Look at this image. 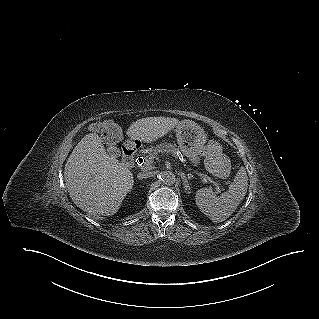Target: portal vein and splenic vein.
I'll use <instances>...</instances> for the list:
<instances>
[{
	"label": "portal vein and splenic vein",
	"instance_id": "obj_1",
	"mask_svg": "<svg viewBox=\"0 0 319 319\" xmlns=\"http://www.w3.org/2000/svg\"><path fill=\"white\" fill-rule=\"evenodd\" d=\"M152 162H153L152 159L147 160V163H148V164H150V163H152ZM201 179H202V181H203L204 183H207L208 181L211 182V183H213V184L215 185V187H216V192H217V193H220L219 185H218L216 182H214L213 179H211L210 177H207V176H205V175H203Z\"/></svg>",
	"mask_w": 319,
	"mask_h": 319
}]
</instances>
